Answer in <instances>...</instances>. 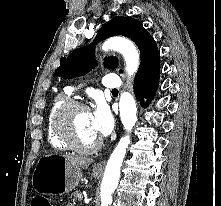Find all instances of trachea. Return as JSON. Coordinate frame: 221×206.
I'll list each match as a JSON object with an SVG mask.
<instances>
[{"label":"trachea","mask_w":221,"mask_h":206,"mask_svg":"<svg viewBox=\"0 0 221 206\" xmlns=\"http://www.w3.org/2000/svg\"><path fill=\"white\" fill-rule=\"evenodd\" d=\"M113 93H118V90H112Z\"/></svg>","instance_id":"1"}]
</instances>
